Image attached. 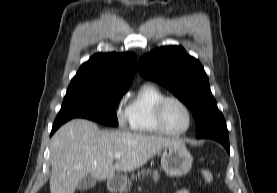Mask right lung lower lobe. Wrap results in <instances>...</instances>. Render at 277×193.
Listing matches in <instances>:
<instances>
[{
	"instance_id": "98d812e1",
	"label": "right lung lower lobe",
	"mask_w": 277,
	"mask_h": 193,
	"mask_svg": "<svg viewBox=\"0 0 277 193\" xmlns=\"http://www.w3.org/2000/svg\"><path fill=\"white\" fill-rule=\"evenodd\" d=\"M66 121H68V120H61V121H56V120H55L50 135H52V134H53L62 124H64Z\"/></svg>"
}]
</instances>
